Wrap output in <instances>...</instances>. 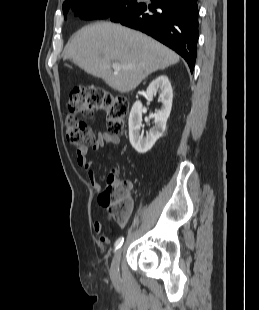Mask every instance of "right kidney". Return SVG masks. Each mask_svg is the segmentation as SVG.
<instances>
[{"label":"right kidney","instance_id":"right-kidney-1","mask_svg":"<svg viewBox=\"0 0 259 310\" xmlns=\"http://www.w3.org/2000/svg\"><path fill=\"white\" fill-rule=\"evenodd\" d=\"M156 92L160 94L162 107L155 114L154 126L144 136L142 127V103L136 101L129 115V140L132 147L140 154L148 152L155 142L163 136L166 130L167 119L171 112L173 91L166 75H160L153 80L147 88L146 94L152 99Z\"/></svg>","mask_w":259,"mask_h":310}]
</instances>
